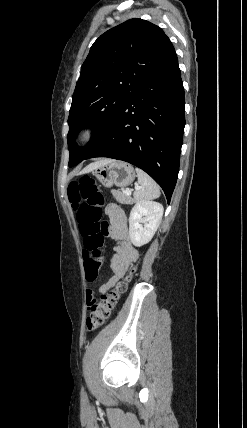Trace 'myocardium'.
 <instances>
[{
  "mask_svg": "<svg viewBox=\"0 0 247 428\" xmlns=\"http://www.w3.org/2000/svg\"><path fill=\"white\" fill-rule=\"evenodd\" d=\"M96 132V128L93 125H85L84 127H82L77 135V141L80 144H87L89 143Z\"/></svg>",
  "mask_w": 247,
  "mask_h": 428,
  "instance_id": "obj_1",
  "label": "myocardium"
}]
</instances>
